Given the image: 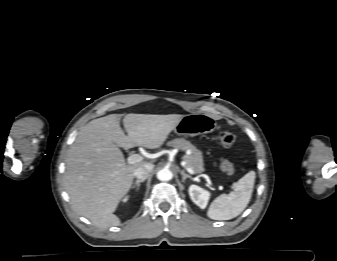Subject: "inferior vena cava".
<instances>
[{"instance_id": "obj_1", "label": "inferior vena cava", "mask_w": 337, "mask_h": 261, "mask_svg": "<svg viewBox=\"0 0 337 261\" xmlns=\"http://www.w3.org/2000/svg\"><path fill=\"white\" fill-rule=\"evenodd\" d=\"M153 168H154V165L152 163H146L144 165L138 166L134 170L133 174L138 179H146L150 175V173L153 170Z\"/></svg>"}]
</instances>
